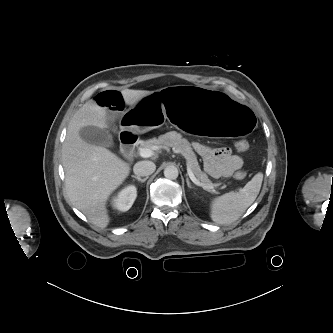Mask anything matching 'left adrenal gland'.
Here are the masks:
<instances>
[{
    "label": "left adrenal gland",
    "instance_id": "a2214340",
    "mask_svg": "<svg viewBox=\"0 0 333 333\" xmlns=\"http://www.w3.org/2000/svg\"><path fill=\"white\" fill-rule=\"evenodd\" d=\"M186 181H187V185H188V187H189V188H192V187H191V183H190V181H189L188 178L186 179Z\"/></svg>",
    "mask_w": 333,
    "mask_h": 333
}]
</instances>
